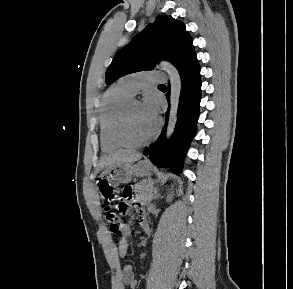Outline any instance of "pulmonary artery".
<instances>
[{"label":"pulmonary artery","mask_w":293,"mask_h":289,"mask_svg":"<svg viewBox=\"0 0 293 289\" xmlns=\"http://www.w3.org/2000/svg\"><path fill=\"white\" fill-rule=\"evenodd\" d=\"M165 81L164 74L158 71H142L131 73L120 80V83L135 95L142 87L150 83H161Z\"/></svg>","instance_id":"obj_1"}]
</instances>
